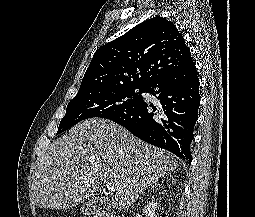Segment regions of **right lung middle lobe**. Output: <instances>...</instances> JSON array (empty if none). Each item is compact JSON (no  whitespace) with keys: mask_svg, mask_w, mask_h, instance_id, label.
Returning <instances> with one entry per match:
<instances>
[{"mask_svg":"<svg viewBox=\"0 0 255 217\" xmlns=\"http://www.w3.org/2000/svg\"><path fill=\"white\" fill-rule=\"evenodd\" d=\"M145 90L146 87L121 86L78 92L68 103L66 114L60 121L57 134L88 118L108 119L129 111L143 100L141 94Z\"/></svg>","mask_w":255,"mask_h":217,"instance_id":"1","label":"right lung middle lobe"}]
</instances>
